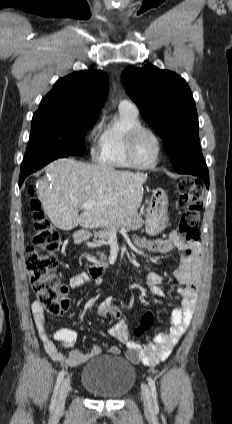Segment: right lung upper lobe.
<instances>
[{
  "mask_svg": "<svg viewBox=\"0 0 232 424\" xmlns=\"http://www.w3.org/2000/svg\"><path fill=\"white\" fill-rule=\"evenodd\" d=\"M109 81L105 72L86 70L59 79L41 100L39 109L73 108L99 117L108 93Z\"/></svg>",
  "mask_w": 232,
  "mask_h": 424,
  "instance_id": "obj_1",
  "label": "right lung upper lobe"
}]
</instances>
